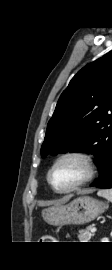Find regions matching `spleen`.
<instances>
[{
  "label": "spleen",
  "mask_w": 112,
  "mask_h": 270,
  "mask_svg": "<svg viewBox=\"0 0 112 270\" xmlns=\"http://www.w3.org/2000/svg\"><path fill=\"white\" fill-rule=\"evenodd\" d=\"M98 196L106 198L108 201L112 202V189H102L98 191Z\"/></svg>",
  "instance_id": "obj_1"
}]
</instances>
